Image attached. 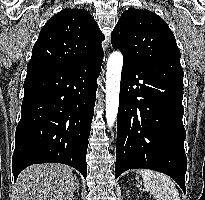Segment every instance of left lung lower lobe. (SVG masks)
Segmentation results:
<instances>
[{
  "label": "left lung lower lobe",
  "instance_id": "0a47b994",
  "mask_svg": "<svg viewBox=\"0 0 205 200\" xmlns=\"http://www.w3.org/2000/svg\"><path fill=\"white\" fill-rule=\"evenodd\" d=\"M183 76L176 58L144 64L124 61L117 116L116 178L128 169L147 168L169 175L186 192Z\"/></svg>",
  "mask_w": 205,
  "mask_h": 200
}]
</instances>
